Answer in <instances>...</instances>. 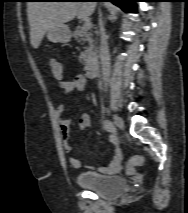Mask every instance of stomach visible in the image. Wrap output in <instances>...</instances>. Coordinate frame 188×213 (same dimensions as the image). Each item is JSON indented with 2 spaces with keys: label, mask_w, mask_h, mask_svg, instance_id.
Segmentation results:
<instances>
[{
  "label": "stomach",
  "mask_w": 188,
  "mask_h": 213,
  "mask_svg": "<svg viewBox=\"0 0 188 213\" xmlns=\"http://www.w3.org/2000/svg\"><path fill=\"white\" fill-rule=\"evenodd\" d=\"M46 36L53 43H67L71 39V31L68 25L59 24L48 29Z\"/></svg>",
  "instance_id": "0dacf381"
}]
</instances>
